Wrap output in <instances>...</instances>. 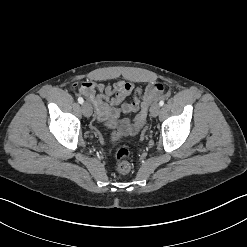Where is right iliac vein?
I'll return each mask as SVG.
<instances>
[{
	"instance_id": "right-iliac-vein-1",
	"label": "right iliac vein",
	"mask_w": 247,
	"mask_h": 247,
	"mask_svg": "<svg viewBox=\"0 0 247 247\" xmlns=\"http://www.w3.org/2000/svg\"><path fill=\"white\" fill-rule=\"evenodd\" d=\"M82 112L84 116L90 117L92 114V107L88 102L83 103L82 105Z\"/></svg>"
}]
</instances>
